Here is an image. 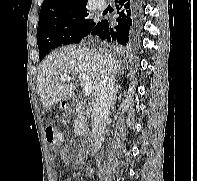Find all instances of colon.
<instances>
[{
	"mask_svg": "<svg viewBox=\"0 0 197 181\" xmlns=\"http://www.w3.org/2000/svg\"><path fill=\"white\" fill-rule=\"evenodd\" d=\"M45 135H46V140L50 145V147L56 149L61 142V138L56 128L53 126H48L45 130Z\"/></svg>",
	"mask_w": 197,
	"mask_h": 181,
	"instance_id": "obj_1",
	"label": "colon"
}]
</instances>
